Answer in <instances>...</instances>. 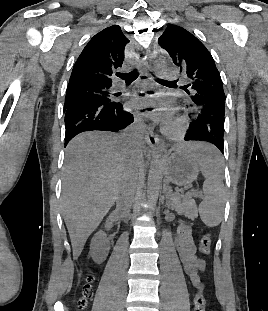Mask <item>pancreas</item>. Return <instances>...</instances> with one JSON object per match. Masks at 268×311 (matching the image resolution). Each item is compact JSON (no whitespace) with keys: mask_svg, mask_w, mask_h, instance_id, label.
<instances>
[{"mask_svg":"<svg viewBox=\"0 0 268 311\" xmlns=\"http://www.w3.org/2000/svg\"><path fill=\"white\" fill-rule=\"evenodd\" d=\"M192 196L193 194L180 196L175 193H170L168 207L179 215H185L193 219L197 216V206Z\"/></svg>","mask_w":268,"mask_h":311,"instance_id":"1","label":"pancreas"}]
</instances>
